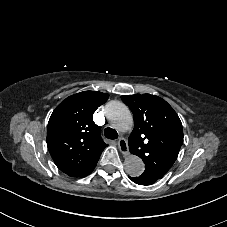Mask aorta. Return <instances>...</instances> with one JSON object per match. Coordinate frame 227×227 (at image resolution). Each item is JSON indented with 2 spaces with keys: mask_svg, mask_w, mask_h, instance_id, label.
Returning <instances> with one entry per match:
<instances>
[{
  "mask_svg": "<svg viewBox=\"0 0 227 227\" xmlns=\"http://www.w3.org/2000/svg\"><path fill=\"white\" fill-rule=\"evenodd\" d=\"M105 113L111 125L118 131H127L133 125V117L129 108L119 101L107 103ZM144 167L142 159L133 154L127 156L124 161L125 171L130 176L141 175Z\"/></svg>",
  "mask_w": 227,
  "mask_h": 227,
  "instance_id": "obj_1",
  "label": "aorta"
}]
</instances>
